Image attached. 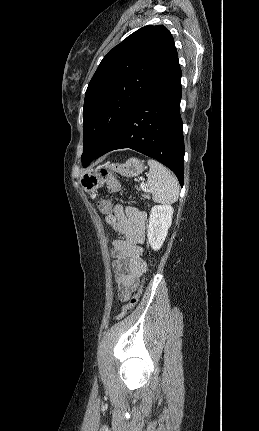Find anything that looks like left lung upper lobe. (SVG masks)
Listing matches in <instances>:
<instances>
[{
  "mask_svg": "<svg viewBox=\"0 0 259 431\" xmlns=\"http://www.w3.org/2000/svg\"><path fill=\"white\" fill-rule=\"evenodd\" d=\"M177 58L174 39L163 25L140 28L103 58L85 94L83 167Z\"/></svg>",
  "mask_w": 259,
  "mask_h": 431,
  "instance_id": "obj_1",
  "label": "left lung upper lobe"
}]
</instances>
